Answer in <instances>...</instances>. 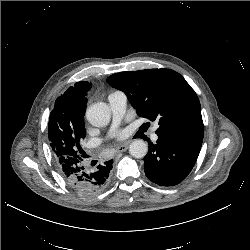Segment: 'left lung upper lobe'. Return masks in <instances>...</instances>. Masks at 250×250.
Masks as SVG:
<instances>
[{
	"label": "left lung upper lobe",
	"mask_w": 250,
	"mask_h": 250,
	"mask_svg": "<svg viewBox=\"0 0 250 250\" xmlns=\"http://www.w3.org/2000/svg\"><path fill=\"white\" fill-rule=\"evenodd\" d=\"M107 82L127 95L140 117L158 122V136L203 139L199 99L179 73L170 69L126 71L109 76Z\"/></svg>",
	"instance_id": "obj_1"
}]
</instances>
